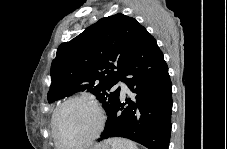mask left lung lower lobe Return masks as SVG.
Masks as SVG:
<instances>
[{"label": "left lung lower lobe", "mask_w": 227, "mask_h": 149, "mask_svg": "<svg viewBox=\"0 0 227 149\" xmlns=\"http://www.w3.org/2000/svg\"><path fill=\"white\" fill-rule=\"evenodd\" d=\"M122 81L135 97L125 103L117 99L98 141L123 137L149 149H168L172 85L163 53L144 27L139 31Z\"/></svg>", "instance_id": "1"}]
</instances>
